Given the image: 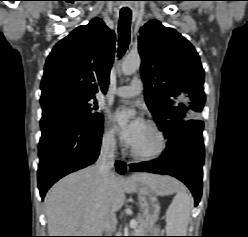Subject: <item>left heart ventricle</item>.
I'll return each mask as SVG.
<instances>
[{
	"instance_id": "1",
	"label": "left heart ventricle",
	"mask_w": 248,
	"mask_h": 237,
	"mask_svg": "<svg viewBox=\"0 0 248 237\" xmlns=\"http://www.w3.org/2000/svg\"><path fill=\"white\" fill-rule=\"evenodd\" d=\"M158 147V140L156 135L147 126L143 129L142 133L133 144L132 148L141 152L149 153Z\"/></svg>"
}]
</instances>
